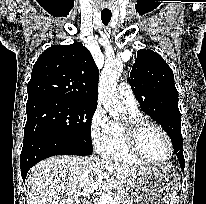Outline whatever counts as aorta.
<instances>
[{"label":"aorta","instance_id":"aorta-1","mask_svg":"<svg viewBox=\"0 0 206 204\" xmlns=\"http://www.w3.org/2000/svg\"><path fill=\"white\" fill-rule=\"evenodd\" d=\"M123 70V63L120 60L106 62L102 70L98 94L99 99L113 119H121L125 114L124 107L120 104L117 96V82Z\"/></svg>","mask_w":206,"mask_h":204}]
</instances>
